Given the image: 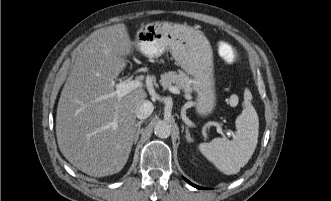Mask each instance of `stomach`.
Returning <instances> with one entry per match:
<instances>
[{"mask_svg":"<svg viewBox=\"0 0 331 201\" xmlns=\"http://www.w3.org/2000/svg\"><path fill=\"white\" fill-rule=\"evenodd\" d=\"M134 45L149 58L169 51L177 64L194 78L198 115L205 117L213 112L216 106L213 56L202 33L187 25L152 22L139 28Z\"/></svg>","mask_w":331,"mask_h":201,"instance_id":"0dacf381","label":"stomach"}]
</instances>
